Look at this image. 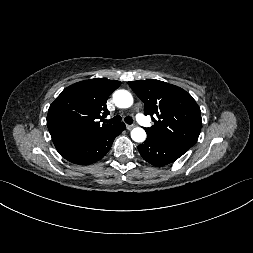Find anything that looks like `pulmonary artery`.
Masks as SVG:
<instances>
[{
	"label": "pulmonary artery",
	"instance_id": "e3ab8cb5",
	"mask_svg": "<svg viewBox=\"0 0 253 253\" xmlns=\"http://www.w3.org/2000/svg\"><path fill=\"white\" fill-rule=\"evenodd\" d=\"M136 119L140 124H142L145 127H149L151 125L148 118L146 116H144L143 113H141L139 111L136 113Z\"/></svg>",
	"mask_w": 253,
	"mask_h": 253
}]
</instances>
